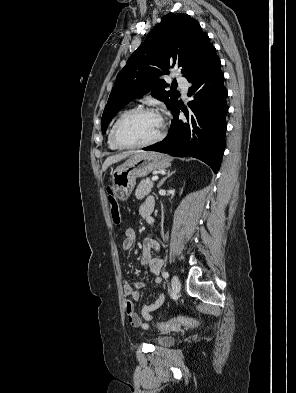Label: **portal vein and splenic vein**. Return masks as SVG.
Instances as JSON below:
<instances>
[{"instance_id": "portal-vein-and-splenic-vein-1", "label": "portal vein and splenic vein", "mask_w": 296, "mask_h": 393, "mask_svg": "<svg viewBox=\"0 0 296 393\" xmlns=\"http://www.w3.org/2000/svg\"><path fill=\"white\" fill-rule=\"evenodd\" d=\"M158 179H159L158 176H154V177L152 178V181H157Z\"/></svg>"}]
</instances>
